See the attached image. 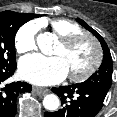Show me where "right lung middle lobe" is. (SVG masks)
I'll list each match as a JSON object with an SVG mask.
<instances>
[{"instance_id": "obj_1", "label": "right lung middle lobe", "mask_w": 117, "mask_h": 117, "mask_svg": "<svg viewBox=\"0 0 117 117\" xmlns=\"http://www.w3.org/2000/svg\"><path fill=\"white\" fill-rule=\"evenodd\" d=\"M27 21L24 13L0 12V70L16 65L14 39L18 29Z\"/></svg>"}]
</instances>
